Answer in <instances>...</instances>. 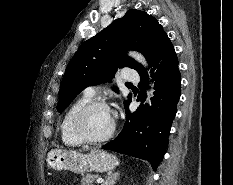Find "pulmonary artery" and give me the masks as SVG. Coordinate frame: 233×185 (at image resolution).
<instances>
[{
	"mask_svg": "<svg viewBox=\"0 0 233 185\" xmlns=\"http://www.w3.org/2000/svg\"><path fill=\"white\" fill-rule=\"evenodd\" d=\"M123 78L126 81L129 82H138L139 81V76L136 72L130 70V69H125L123 72ZM96 94V89L94 87H88L84 91V95L88 98L94 97Z\"/></svg>",
	"mask_w": 233,
	"mask_h": 185,
	"instance_id": "obj_1",
	"label": "pulmonary artery"
}]
</instances>
